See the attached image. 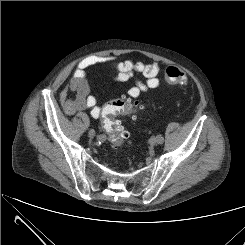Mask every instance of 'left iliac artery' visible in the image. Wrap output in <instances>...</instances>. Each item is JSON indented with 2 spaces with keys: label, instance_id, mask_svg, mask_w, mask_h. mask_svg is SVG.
Segmentation results:
<instances>
[{
  "label": "left iliac artery",
  "instance_id": "left-iliac-artery-1",
  "mask_svg": "<svg viewBox=\"0 0 245 245\" xmlns=\"http://www.w3.org/2000/svg\"><path fill=\"white\" fill-rule=\"evenodd\" d=\"M157 141H158V144H162L164 142V139L161 135H158L157 136Z\"/></svg>",
  "mask_w": 245,
  "mask_h": 245
}]
</instances>
